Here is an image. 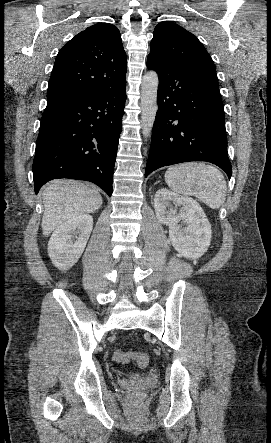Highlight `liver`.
Instances as JSON below:
<instances>
[{
	"label": "liver",
	"instance_id": "obj_1",
	"mask_svg": "<svg viewBox=\"0 0 271 443\" xmlns=\"http://www.w3.org/2000/svg\"><path fill=\"white\" fill-rule=\"evenodd\" d=\"M42 200L44 214L41 227L44 235H49L58 225L75 216L96 212L103 204L98 190L87 188L74 180L49 182L42 194Z\"/></svg>",
	"mask_w": 271,
	"mask_h": 443
}]
</instances>
